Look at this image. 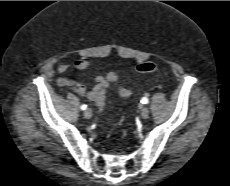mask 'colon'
<instances>
[{
    "instance_id": "1",
    "label": "colon",
    "mask_w": 230,
    "mask_h": 186,
    "mask_svg": "<svg viewBox=\"0 0 230 186\" xmlns=\"http://www.w3.org/2000/svg\"><path fill=\"white\" fill-rule=\"evenodd\" d=\"M158 68H159L158 65L153 62H144L136 66V71L139 73H151V72L157 71ZM107 77L110 81H115L117 79V76L114 73H109ZM126 92L131 93V90L127 89ZM105 102H106V99L100 98L97 102L98 107L100 109H103Z\"/></svg>"
}]
</instances>
